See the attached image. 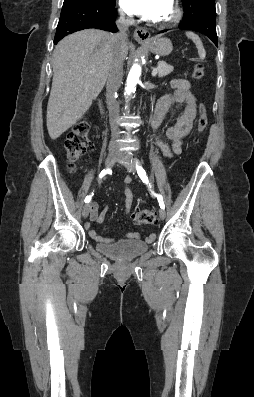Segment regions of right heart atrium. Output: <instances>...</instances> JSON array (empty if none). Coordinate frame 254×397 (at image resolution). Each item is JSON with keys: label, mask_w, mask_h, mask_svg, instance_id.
I'll list each match as a JSON object with an SVG mask.
<instances>
[{"label": "right heart atrium", "mask_w": 254, "mask_h": 397, "mask_svg": "<svg viewBox=\"0 0 254 397\" xmlns=\"http://www.w3.org/2000/svg\"><path fill=\"white\" fill-rule=\"evenodd\" d=\"M121 15H122V18H123V19L129 20V18H128L123 12H121Z\"/></svg>", "instance_id": "right-heart-atrium-1"}]
</instances>
